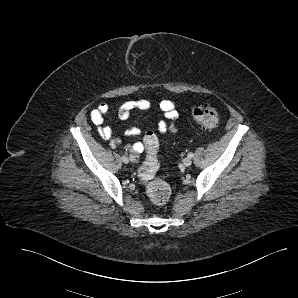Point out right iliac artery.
Returning <instances> with one entry per match:
<instances>
[{"label":"right iliac artery","mask_w":298,"mask_h":298,"mask_svg":"<svg viewBox=\"0 0 298 298\" xmlns=\"http://www.w3.org/2000/svg\"><path fill=\"white\" fill-rule=\"evenodd\" d=\"M129 158H130L131 161H135V156L130 155Z\"/></svg>","instance_id":"1"}]
</instances>
